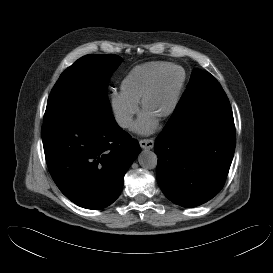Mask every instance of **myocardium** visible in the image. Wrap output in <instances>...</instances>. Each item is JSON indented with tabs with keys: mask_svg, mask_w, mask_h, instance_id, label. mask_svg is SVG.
I'll return each mask as SVG.
<instances>
[{
	"mask_svg": "<svg viewBox=\"0 0 273 273\" xmlns=\"http://www.w3.org/2000/svg\"><path fill=\"white\" fill-rule=\"evenodd\" d=\"M172 71H176L179 73L180 80H179V84H178V87H177V90H176V93H175V96H174V99H173V102H172L170 108L164 114L159 116L161 119H164V120L170 118L174 114V112L178 106V103H179V100L181 97V93H182V90L184 87V82H185V74L182 70L179 69V71H178V70H176V68H169L168 67V68H164L161 71H159L158 73H156V75L152 78L150 83L145 88V90L141 96V99H140L141 108L143 111H145L146 103H147L149 97L151 96V94L153 93V91L155 90L159 81L167 73L172 72Z\"/></svg>",
	"mask_w": 273,
	"mask_h": 273,
	"instance_id": "f54148a6",
	"label": "myocardium"
}]
</instances>
